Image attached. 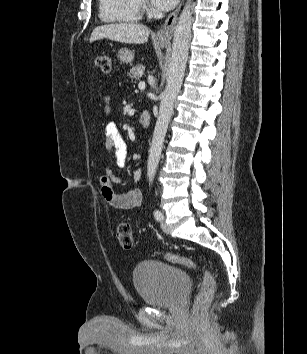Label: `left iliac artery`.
<instances>
[{"instance_id":"44dca946","label":"left iliac artery","mask_w":307,"mask_h":354,"mask_svg":"<svg viewBox=\"0 0 307 354\" xmlns=\"http://www.w3.org/2000/svg\"><path fill=\"white\" fill-rule=\"evenodd\" d=\"M154 217H155V219H156L157 221H161L163 215H162V213H161L159 210H155V211H154Z\"/></svg>"}]
</instances>
